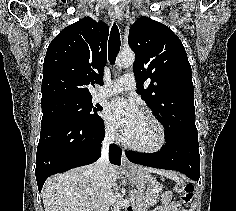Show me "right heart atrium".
<instances>
[{"instance_id": "1", "label": "right heart atrium", "mask_w": 236, "mask_h": 211, "mask_svg": "<svg viewBox=\"0 0 236 211\" xmlns=\"http://www.w3.org/2000/svg\"><path fill=\"white\" fill-rule=\"evenodd\" d=\"M104 134L105 137L110 141H118L120 138L116 132V129L109 122H105L104 124Z\"/></svg>"}]
</instances>
